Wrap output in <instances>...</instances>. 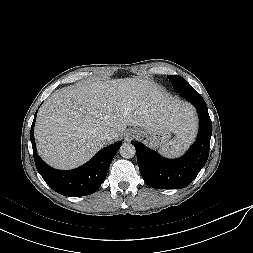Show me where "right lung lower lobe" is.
<instances>
[{
  "mask_svg": "<svg viewBox=\"0 0 253 253\" xmlns=\"http://www.w3.org/2000/svg\"><path fill=\"white\" fill-rule=\"evenodd\" d=\"M31 126L30 138L33 148L35 165L44 181L57 193L64 196H85L96 192L105 181L110 163L121 142L114 143L100 150L86 164L68 171L53 169L48 166L37 154L34 139V124Z\"/></svg>",
  "mask_w": 253,
  "mask_h": 253,
  "instance_id": "98d812e1",
  "label": "right lung lower lobe"
}]
</instances>
